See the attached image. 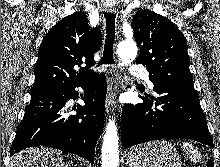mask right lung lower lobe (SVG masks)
Segmentation results:
<instances>
[{
    "label": "right lung lower lobe",
    "mask_w": 220,
    "mask_h": 167,
    "mask_svg": "<svg viewBox=\"0 0 220 167\" xmlns=\"http://www.w3.org/2000/svg\"><path fill=\"white\" fill-rule=\"evenodd\" d=\"M76 87L85 89V105L74 106L72 110L77 113L71 115L67 102L78 98ZM106 93V78L101 73L66 88L33 94L10 155L43 145L77 154L93 163L95 145L104 125Z\"/></svg>",
    "instance_id": "obj_1"
}]
</instances>
